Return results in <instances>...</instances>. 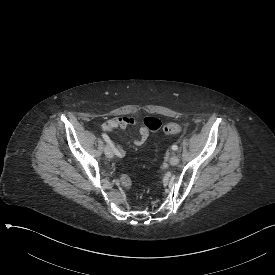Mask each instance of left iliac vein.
<instances>
[{"label": "left iliac vein", "mask_w": 275, "mask_h": 275, "mask_svg": "<svg viewBox=\"0 0 275 275\" xmlns=\"http://www.w3.org/2000/svg\"><path fill=\"white\" fill-rule=\"evenodd\" d=\"M169 163L172 165V166H175L179 163V157L176 155V154H173L169 160Z\"/></svg>", "instance_id": "4c4485c4"}]
</instances>
